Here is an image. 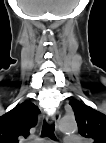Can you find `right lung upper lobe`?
Instances as JSON below:
<instances>
[{
  "instance_id": "right-lung-upper-lobe-1",
  "label": "right lung upper lobe",
  "mask_w": 106,
  "mask_h": 143,
  "mask_svg": "<svg viewBox=\"0 0 106 143\" xmlns=\"http://www.w3.org/2000/svg\"><path fill=\"white\" fill-rule=\"evenodd\" d=\"M39 112L31 101H24L0 116V143H18L19 138H26L36 125Z\"/></svg>"
}]
</instances>
